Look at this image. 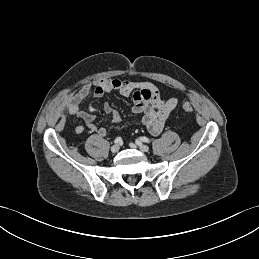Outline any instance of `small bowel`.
<instances>
[{
  "instance_id": "c3829d8e",
  "label": "small bowel",
  "mask_w": 259,
  "mask_h": 259,
  "mask_svg": "<svg viewBox=\"0 0 259 259\" xmlns=\"http://www.w3.org/2000/svg\"><path fill=\"white\" fill-rule=\"evenodd\" d=\"M112 91L119 92L123 96L132 97L133 112L142 115L143 125L154 136L161 133L167 118L178 105L176 97L163 99L157 86L151 82L103 78L95 83H86L80 88L71 91L62 103L63 110L67 111L71 116L81 119L85 124V126L78 125L75 129L76 133H82L86 127L100 137L108 136L106 128L95 125L93 111L82 110L80 104L90 94L101 97ZM103 110L111 116L113 124L120 122L119 112L110 103H104ZM51 120H54V117ZM63 121V118L59 119V123H63Z\"/></svg>"
}]
</instances>
